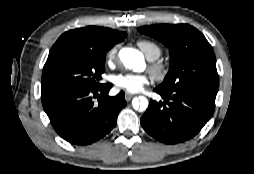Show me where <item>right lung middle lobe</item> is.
I'll return each instance as SVG.
<instances>
[{"instance_id": "dd1d6c3e", "label": "right lung middle lobe", "mask_w": 254, "mask_h": 174, "mask_svg": "<svg viewBox=\"0 0 254 174\" xmlns=\"http://www.w3.org/2000/svg\"><path fill=\"white\" fill-rule=\"evenodd\" d=\"M106 52L74 41L56 42L43 68L41 96L99 87Z\"/></svg>"}]
</instances>
